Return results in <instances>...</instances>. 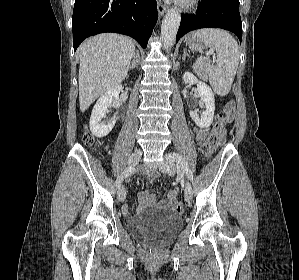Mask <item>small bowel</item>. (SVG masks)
<instances>
[{
	"mask_svg": "<svg viewBox=\"0 0 299 280\" xmlns=\"http://www.w3.org/2000/svg\"><path fill=\"white\" fill-rule=\"evenodd\" d=\"M195 135H196V140L199 145H202L206 139L208 138V131L207 130H202V129H195ZM225 134L222 132L218 138L217 144H222L224 142ZM158 177V173L155 171H150L147 174V178L149 181H154ZM176 190L171 191L166 200L157 203L155 197L148 191H141L139 194V199H140V205L137 208V211H140L143 208L146 207H155L157 205L161 207H165L167 205H170L174 202L175 197H176ZM123 212L128 213L129 208L127 205L123 206Z\"/></svg>",
	"mask_w": 299,
	"mask_h": 280,
	"instance_id": "1",
	"label": "small bowel"
}]
</instances>
